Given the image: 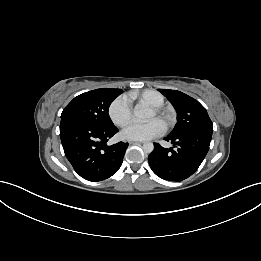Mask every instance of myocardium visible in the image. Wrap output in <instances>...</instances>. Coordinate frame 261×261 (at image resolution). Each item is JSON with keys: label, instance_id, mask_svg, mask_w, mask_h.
Wrapping results in <instances>:
<instances>
[{"label": "myocardium", "instance_id": "obj_1", "mask_svg": "<svg viewBox=\"0 0 261 261\" xmlns=\"http://www.w3.org/2000/svg\"><path fill=\"white\" fill-rule=\"evenodd\" d=\"M151 110L160 118L163 119V124L167 128L173 121V113L171 110L163 108L162 106L159 107H151Z\"/></svg>", "mask_w": 261, "mask_h": 261}]
</instances>
